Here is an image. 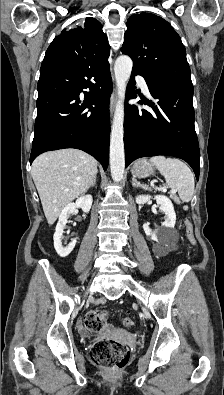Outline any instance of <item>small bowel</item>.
<instances>
[{
	"label": "small bowel",
	"mask_w": 224,
	"mask_h": 395,
	"mask_svg": "<svg viewBox=\"0 0 224 395\" xmlns=\"http://www.w3.org/2000/svg\"><path fill=\"white\" fill-rule=\"evenodd\" d=\"M79 329H80V332H81L82 334H86L85 330H84L81 326H79Z\"/></svg>",
	"instance_id": "obj_1"
}]
</instances>
